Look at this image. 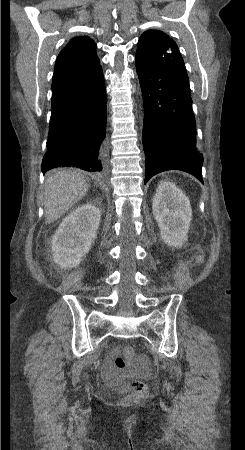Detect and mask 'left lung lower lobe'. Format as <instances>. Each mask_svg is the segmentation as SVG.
I'll return each instance as SVG.
<instances>
[{"label": "left lung lower lobe", "instance_id": "0a47b994", "mask_svg": "<svg viewBox=\"0 0 245 450\" xmlns=\"http://www.w3.org/2000/svg\"><path fill=\"white\" fill-rule=\"evenodd\" d=\"M136 68L144 100L145 184L167 170L188 172L203 183L191 92L162 69Z\"/></svg>", "mask_w": 245, "mask_h": 450}]
</instances>
